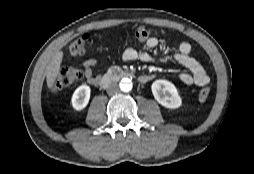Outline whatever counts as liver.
<instances>
[{
    "label": "liver",
    "instance_id": "6515ba94",
    "mask_svg": "<svg viewBox=\"0 0 254 174\" xmlns=\"http://www.w3.org/2000/svg\"><path fill=\"white\" fill-rule=\"evenodd\" d=\"M62 59H63V52L62 51L57 52L50 66L48 67L46 81H47V86L50 89L54 86V83L57 79V76L60 71V65L62 63Z\"/></svg>",
    "mask_w": 254,
    "mask_h": 174
}]
</instances>
